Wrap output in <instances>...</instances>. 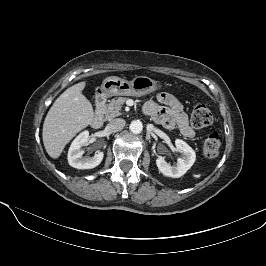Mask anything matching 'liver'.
Here are the masks:
<instances>
[{
  "mask_svg": "<svg viewBox=\"0 0 266 266\" xmlns=\"http://www.w3.org/2000/svg\"><path fill=\"white\" fill-rule=\"evenodd\" d=\"M85 85L83 81L65 90L46 115L42 138L51 158H58L66 144L93 121L92 104L82 94Z\"/></svg>",
  "mask_w": 266,
  "mask_h": 266,
  "instance_id": "liver-1",
  "label": "liver"
}]
</instances>
